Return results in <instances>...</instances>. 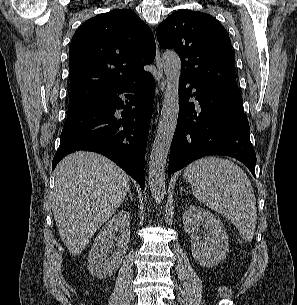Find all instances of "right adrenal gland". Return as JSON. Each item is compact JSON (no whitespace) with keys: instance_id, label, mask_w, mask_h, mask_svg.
<instances>
[{"instance_id":"right-adrenal-gland-1","label":"right adrenal gland","mask_w":297,"mask_h":305,"mask_svg":"<svg viewBox=\"0 0 297 305\" xmlns=\"http://www.w3.org/2000/svg\"><path fill=\"white\" fill-rule=\"evenodd\" d=\"M130 197L131 199L133 198L131 191L128 192V196L126 197V199Z\"/></svg>"}]
</instances>
